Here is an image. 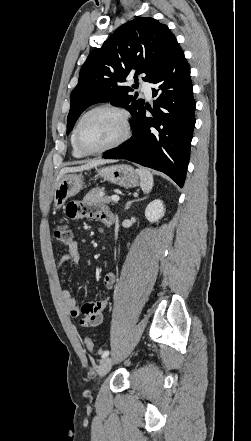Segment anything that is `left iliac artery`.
I'll return each mask as SVG.
<instances>
[{
  "label": "left iliac artery",
  "instance_id": "obj_1",
  "mask_svg": "<svg viewBox=\"0 0 251 441\" xmlns=\"http://www.w3.org/2000/svg\"><path fill=\"white\" fill-rule=\"evenodd\" d=\"M108 355H109V351L108 350L104 351L102 354V359L106 358Z\"/></svg>",
  "mask_w": 251,
  "mask_h": 441
}]
</instances>
